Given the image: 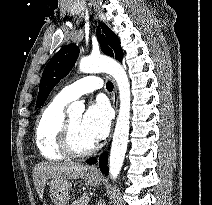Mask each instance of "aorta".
<instances>
[{"label": "aorta", "mask_w": 212, "mask_h": 205, "mask_svg": "<svg viewBox=\"0 0 212 205\" xmlns=\"http://www.w3.org/2000/svg\"><path fill=\"white\" fill-rule=\"evenodd\" d=\"M79 70L82 73L106 72L115 79L118 85L120 108L109 157V174L112 180H116L124 162L130 129L131 94L127 73L117 61L103 55L82 58ZM82 109L83 106L78 103L70 106V110L80 111Z\"/></svg>", "instance_id": "1"}]
</instances>
